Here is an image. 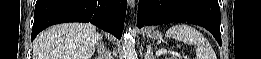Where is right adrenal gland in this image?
I'll return each instance as SVG.
<instances>
[{
    "mask_svg": "<svg viewBox=\"0 0 261 59\" xmlns=\"http://www.w3.org/2000/svg\"><path fill=\"white\" fill-rule=\"evenodd\" d=\"M102 50H103V45L100 43L99 48H98V53H99L98 59H103Z\"/></svg>",
    "mask_w": 261,
    "mask_h": 59,
    "instance_id": "2a0ac1e0",
    "label": "right adrenal gland"
}]
</instances>
